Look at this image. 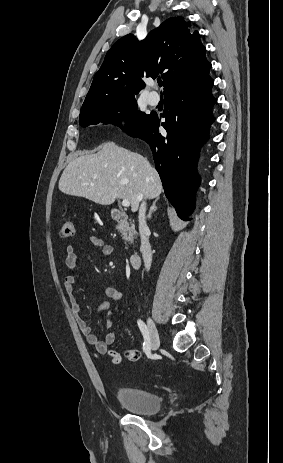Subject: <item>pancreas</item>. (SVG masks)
<instances>
[{
	"instance_id": "pancreas-1",
	"label": "pancreas",
	"mask_w": 283,
	"mask_h": 463,
	"mask_svg": "<svg viewBox=\"0 0 283 463\" xmlns=\"http://www.w3.org/2000/svg\"><path fill=\"white\" fill-rule=\"evenodd\" d=\"M116 229L118 230V232L121 233V236L123 238V240H129L132 236V232H133V227H129V225L126 223L124 225H119L116 227Z\"/></svg>"
}]
</instances>
